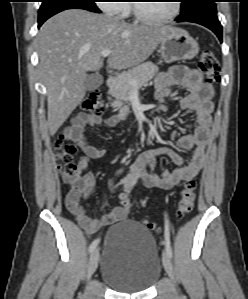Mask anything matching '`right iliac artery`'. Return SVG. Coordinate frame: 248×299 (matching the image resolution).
Listing matches in <instances>:
<instances>
[{
	"label": "right iliac artery",
	"mask_w": 248,
	"mask_h": 299,
	"mask_svg": "<svg viewBox=\"0 0 248 299\" xmlns=\"http://www.w3.org/2000/svg\"><path fill=\"white\" fill-rule=\"evenodd\" d=\"M119 172H121V171H119ZM99 241H100V239H95V240L91 243V245H90V247H89V252H92V251L96 248V246L98 245Z\"/></svg>",
	"instance_id": "right-iliac-artery-1"
}]
</instances>
